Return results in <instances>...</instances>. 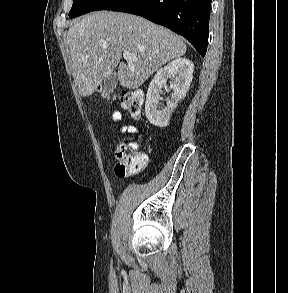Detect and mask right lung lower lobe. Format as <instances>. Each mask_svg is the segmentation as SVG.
I'll return each instance as SVG.
<instances>
[{
    "mask_svg": "<svg viewBox=\"0 0 288 293\" xmlns=\"http://www.w3.org/2000/svg\"><path fill=\"white\" fill-rule=\"evenodd\" d=\"M212 0H119L106 10L127 12L185 37L205 56Z\"/></svg>",
    "mask_w": 288,
    "mask_h": 293,
    "instance_id": "1",
    "label": "right lung lower lobe"
}]
</instances>
